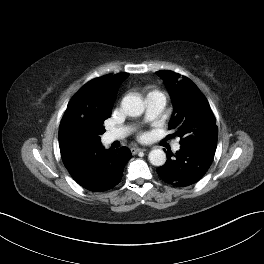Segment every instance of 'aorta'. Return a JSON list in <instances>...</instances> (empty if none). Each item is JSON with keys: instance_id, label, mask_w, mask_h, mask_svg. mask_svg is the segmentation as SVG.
Wrapping results in <instances>:
<instances>
[{"instance_id": "obj_1", "label": "aorta", "mask_w": 264, "mask_h": 264, "mask_svg": "<svg viewBox=\"0 0 264 264\" xmlns=\"http://www.w3.org/2000/svg\"><path fill=\"white\" fill-rule=\"evenodd\" d=\"M121 106L125 113L132 117L140 116L145 109L143 100L133 94L126 95L122 99ZM148 159L152 165L162 166L166 162V154L161 149H154L150 151Z\"/></svg>"}]
</instances>
